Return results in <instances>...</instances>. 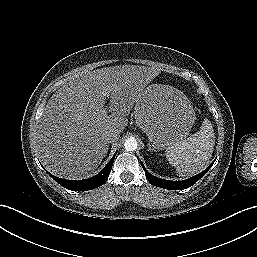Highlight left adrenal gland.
<instances>
[{"instance_id":"obj_1","label":"left adrenal gland","mask_w":257,"mask_h":257,"mask_svg":"<svg viewBox=\"0 0 257 257\" xmlns=\"http://www.w3.org/2000/svg\"><path fill=\"white\" fill-rule=\"evenodd\" d=\"M148 146H149V148H148V150L149 151H154V152H156V150L154 149V148H152V146L148 143Z\"/></svg>"}]
</instances>
